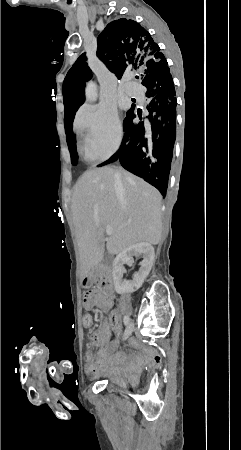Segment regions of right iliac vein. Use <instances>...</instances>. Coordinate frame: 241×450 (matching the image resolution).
<instances>
[{"label":"right iliac vein","mask_w":241,"mask_h":450,"mask_svg":"<svg viewBox=\"0 0 241 450\" xmlns=\"http://www.w3.org/2000/svg\"><path fill=\"white\" fill-rule=\"evenodd\" d=\"M133 328H134V324H133V322H130L125 329L124 339H127L131 335V333L133 332Z\"/></svg>","instance_id":"63e3f726"}]
</instances>
